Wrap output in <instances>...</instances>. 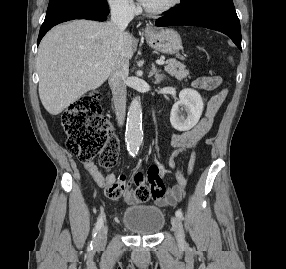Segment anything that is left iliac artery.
Listing matches in <instances>:
<instances>
[{"mask_svg":"<svg viewBox=\"0 0 286 269\" xmlns=\"http://www.w3.org/2000/svg\"><path fill=\"white\" fill-rule=\"evenodd\" d=\"M175 215H176L178 218H180V219L183 218V213H182V211H181L180 209H178V210L175 212Z\"/></svg>","mask_w":286,"mask_h":269,"instance_id":"44dca946","label":"left iliac artery"}]
</instances>
